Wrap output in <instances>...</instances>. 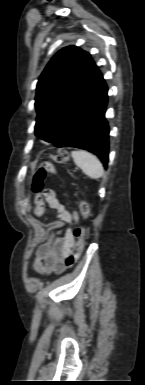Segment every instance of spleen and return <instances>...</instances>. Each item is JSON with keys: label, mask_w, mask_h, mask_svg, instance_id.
Returning <instances> with one entry per match:
<instances>
[{"label": "spleen", "mask_w": 145, "mask_h": 385, "mask_svg": "<svg viewBox=\"0 0 145 385\" xmlns=\"http://www.w3.org/2000/svg\"><path fill=\"white\" fill-rule=\"evenodd\" d=\"M75 164L83 170V172L93 179L103 176L104 169L99 159L85 150H77L71 152Z\"/></svg>", "instance_id": "3e777b00"}]
</instances>
